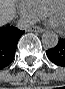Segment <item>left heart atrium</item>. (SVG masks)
<instances>
[{"mask_svg": "<svg viewBox=\"0 0 65 89\" xmlns=\"http://www.w3.org/2000/svg\"><path fill=\"white\" fill-rule=\"evenodd\" d=\"M50 22H51V24H52L53 26H56V24H55L52 20H51Z\"/></svg>", "mask_w": 65, "mask_h": 89, "instance_id": "obj_1", "label": "left heart atrium"}]
</instances>
